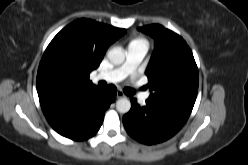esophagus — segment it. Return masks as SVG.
<instances>
[{
	"instance_id": "esophagus-1",
	"label": "esophagus",
	"mask_w": 248,
	"mask_h": 165,
	"mask_svg": "<svg viewBox=\"0 0 248 165\" xmlns=\"http://www.w3.org/2000/svg\"><path fill=\"white\" fill-rule=\"evenodd\" d=\"M116 97L119 99V98L125 97V94L121 90H118Z\"/></svg>"
}]
</instances>
